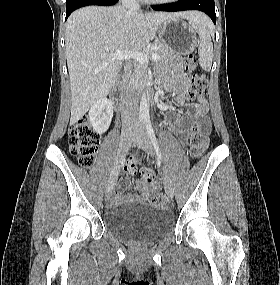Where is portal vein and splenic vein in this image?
<instances>
[{
  "label": "portal vein and splenic vein",
  "mask_w": 280,
  "mask_h": 285,
  "mask_svg": "<svg viewBox=\"0 0 280 285\" xmlns=\"http://www.w3.org/2000/svg\"><path fill=\"white\" fill-rule=\"evenodd\" d=\"M160 56L157 53H153L151 55V59L153 61H157ZM110 60H126V59H134L140 63H148L150 56L146 53L138 52V51H123L117 50L113 54L109 56Z\"/></svg>",
  "instance_id": "1"
}]
</instances>
